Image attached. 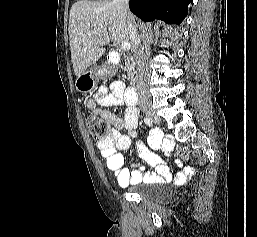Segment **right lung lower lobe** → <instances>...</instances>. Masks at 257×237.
Wrapping results in <instances>:
<instances>
[{"instance_id":"obj_1","label":"right lung lower lobe","mask_w":257,"mask_h":237,"mask_svg":"<svg viewBox=\"0 0 257 237\" xmlns=\"http://www.w3.org/2000/svg\"><path fill=\"white\" fill-rule=\"evenodd\" d=\"M192 0H130V10L143 21L160 19L180 24L187 15Z\"/></svg>"}]
</instances>
